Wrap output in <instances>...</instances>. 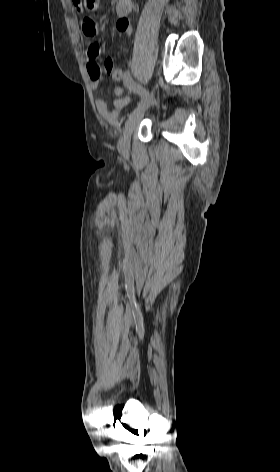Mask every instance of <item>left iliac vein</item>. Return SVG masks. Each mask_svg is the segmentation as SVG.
Instances as JSON below:
<instances>
[{
  "label": "left iliac vein",
  "instance_id": "obj_1",
  "mask_svg": "<svg viewBox=\"0 0 280 472\" xmlns=\"http://www.w3.org/2000/svg\"><path fill=\"white\" fill-rule=\"evenodd\" d=\"M146 107H144L142 109H139L136 112L132 113L129 116L128 120L126 121L124 131H123V136L121 137V139L119 141V144H118L119 149L121 151L126 152V151L129 150L131 136H132L134 130L136 129V127L138 126V124L140 123V121L142 120V118L144 116V113H145V110H146Z\"/></svg>",
  "mask_w": 280,
  "mask_h": 472
}]
</instances>
